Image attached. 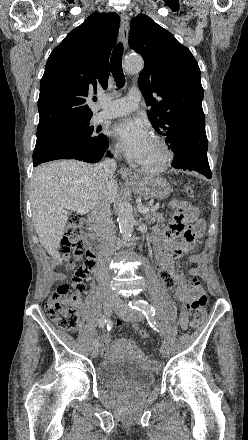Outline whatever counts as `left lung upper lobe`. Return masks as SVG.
<instances>
[{"mask_svg":"<svg viewBox=\"0 0 248 440\" xmlns=\"http://www.w3.org/2000/svg\"><path fill=\"white\" fill-rule=\"evenodd\" d=\"M129 46L145 62L138 85L151 106L154 129L172 151L208 150L201 71L190 50L155 23L139 14L130 22Z\"/></svg>","mask_w":248,"mask_h":440,"instance_id":"obj_1","label":"left lung upper lobe"}]
</instances>
